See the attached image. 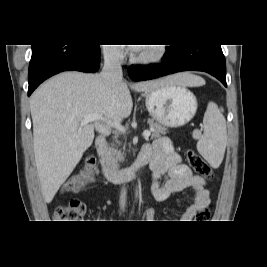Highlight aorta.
Instances as JSON below:
<instances>
[{
    "label": "aorta",
    "instance_id": "obj_1",
    "mask_svg": "<svg viewBox=\"0 0 267 267\" xmlns=\"http://www.w3.org/2000/svg\"><path fill=\"white\" fill-rule=\"evenodd\" d=\"M138 195V191H136V196Z\"/></svg>",
    "mask_w": 267,
    "mask_h": 267
}]
</instances>
